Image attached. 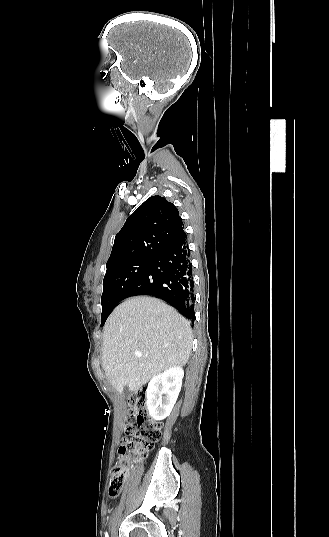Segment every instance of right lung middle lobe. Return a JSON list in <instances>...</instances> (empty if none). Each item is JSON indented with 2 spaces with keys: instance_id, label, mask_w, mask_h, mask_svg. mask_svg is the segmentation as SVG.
<instances>
[{
  "instance_id": "dd1d6c3e",
  "label": "right lung middle lobe",
  "mask_w": 329,
  "mask_h": 537,
  "mask_svg": "<svg viewBox=\"0 0 329 537\" xmlns=\"http://www.w3.org/2000/svg\"><path fill=\"white\" fill-rule=\"evenodd\" d=\"M153 259H138L107 270L103 280L101 298V326L115 305L124 298L125 293L143 274Z\"/></svg>"
}]
</instances>
